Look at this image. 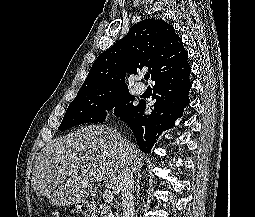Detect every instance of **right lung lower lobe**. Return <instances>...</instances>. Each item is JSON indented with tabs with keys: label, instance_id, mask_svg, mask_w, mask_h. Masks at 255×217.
<instances>
[{
	"label": "right lung lower lobe",
	"instance_id": "1",
	"mask_svg": "<svg viewBox=\"0 0 255 217\" xmlns=\"http://www.w3.org/2000/svg\"><path fill=\"white\" fill-rule=\"evenodd\" d=\"M190 72L186 59L154 80L153 99L156 102L150 115L144 114L146 103L140 101L130 113L120 117L134 133L141 151L150 153L159 135L173 127L175 120L182 116L183 109L189 104Z\"/></svg>",
	"mask_w": 255,
	"mask_h": 217
}]
</instances>
